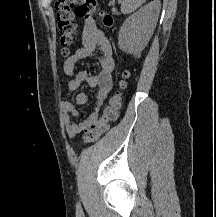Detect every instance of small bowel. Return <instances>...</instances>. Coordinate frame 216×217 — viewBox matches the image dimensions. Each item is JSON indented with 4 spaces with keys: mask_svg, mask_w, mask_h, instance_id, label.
I'll return each instance as SVG.
<instances>
[{
    "mask_svg": "<svg viewBox=\"0 0 216 217\" xmlns=\"http://www.w3.org/2000/svg\"><path fill=\"white\" fill-rule=\"evenodd\" d=\"M80 42L81 47L76 49L62 64L65 75H75L68 83L66 99L61 102V110L63 112L62 124L69 138L86 131L98 119L101 107L112 90L114 81L115 60L112 46L106 35L96 27L93 19L89 18L85 21ZM96 50H99L101 55L99 60L100 72L95 75H89L87 71L82 70L75 74L77 63L88 56H94ZM84 81L88 86L97 89L95 106L87 118L76 121L75 119L80 115L76 105L85 104L88 97L84 92H78L73 97V93Z\"/></svg>",
    "mask_w": 216,
    "mask_h": 217,
    "instance_id": "1",
    "label": "small bowel"
}]
</instances>
